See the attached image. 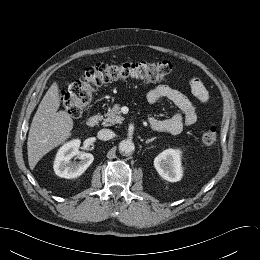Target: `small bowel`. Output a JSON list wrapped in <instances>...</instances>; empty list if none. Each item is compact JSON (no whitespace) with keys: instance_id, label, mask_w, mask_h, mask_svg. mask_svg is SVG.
<instances>
[{"instance_id":"1","label":"small bowel","mask_w":260,"mask_h":260,"mask_svg":"<svg viewBox=\"0 0 260 260\" xmlns=\"http://www.w3.org/2000/svg\"><path fill=\"white\" fill-rule=\"evenodd\" d=\"M190 88L199 102L206 103L208 101V90L200 79L192 78L190 80ZM164 99L174 103L180 112L173 114L168 119H150L149 124L153 130L178 134L185 126L193 125L196 122V107L190 99L179 90L168 85H159L147 93V100L150 104H155Z\"/></svg>"}]
</instances>
